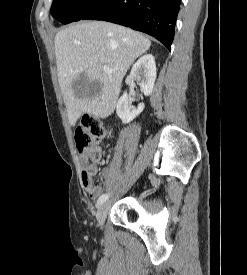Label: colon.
Listing matches in <instances>:
<instances>
[{"mask_svg":"<svg viewBox=\"0 0 247 275\" xmlns=\"http://www.w3.org/2000/svg\"><path fill=\"white\" fill-rule=\"evenodd\" d=\"M106 128L91 118H84L74 132L76 147L85 152L89 160L97 161L100 154L97 146L106 134Z\"/></svg>","mask_w":247,"mask_h":275,"instance_id":"colon-1","label":"colon"}]
</instances>
